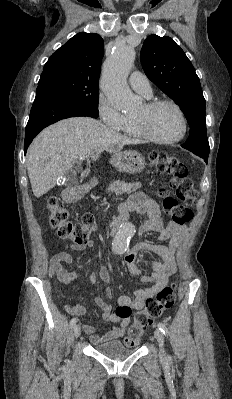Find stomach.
<instances>
[{
	"label": "stomach",
	"mask_w": 232,
	"mask_h": 399,
	"mask_svg": "<svg viewBox=\"0 0 232 399\" xmlns=\"http://www.w3.org/2000/svg\"><path fill=\"white\" fill-rule=\"evenodd\" d=\"M114 168L119 172H127V174H136L142 172L146 166L145 158L135 152V150H127V152H118L114 154L110 160Z\"/></svg>",
	"instance_id": "stomach-1"
}]
</instances>
